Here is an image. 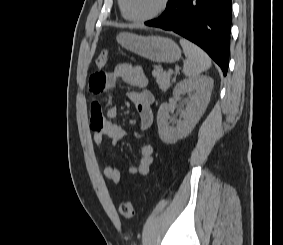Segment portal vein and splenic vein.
Here are the masks:
<instances>
[{"instance_id":"1","label":"portal vein and splenic vein","mask_w":283,"mask_h":245,"mask_svg":"<svg viewBox=\"0 0 283 245\" xmlns=\"http://www.w3.org/2000/svg\"><path fill=\"white\" fill-rule=\"evenodd\" d=\"M168 73H169V74H172V73H173V69H169V70H168Z\"/></svg>"}]
</instances>
